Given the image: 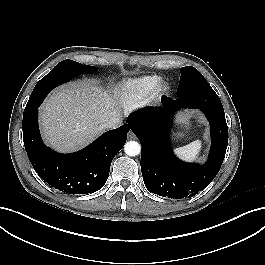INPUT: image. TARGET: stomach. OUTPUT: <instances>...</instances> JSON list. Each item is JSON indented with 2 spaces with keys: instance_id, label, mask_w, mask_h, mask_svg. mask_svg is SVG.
<instances>
[{
  "instance_id": "stomach-1",
  "label": "stomach",
  "mask_w": 265,
  "mask_h": 265,
  "mask_svg": "<svg viewBox=\"0 0 265 265\" xmlns=\"http://www.w3.org/2000/svg\"><path fill=\"white\" fill-rule=\"evenodd\" d=\"M179 121H180V123H181L182 125H184V126L189 125V121H188L185 117H183V116H180V117H179ZM179 136H181V134H179Z\"/></svg>"
}]
</instances>
